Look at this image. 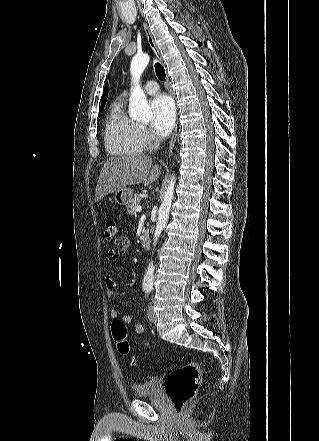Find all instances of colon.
I'll return each mask as SVG.
<instances>
[{
  "label": "colon",
  "instance_id": "obj_1",
  "mask_svg": "<svg viewBox=\"0 0 319 441\" xmlns=\"http://www.w3.org/2000/svg\"><path fill=\"white\" fill-rule=\"evenodd\" d=\"M118 236L117 223L113 219L107 220L104 225V238L113 240ZM111 332L118 351L123 355L128 354L129 342L126 323L122 319H115L111 324ZM199 380L200 366L193 360H188L184 366L174 369L165 378L164 388L177 416L184 415L186 403L194 396Z\"/></svg>",
  "mask_w": 319,
  "mask_h": 441
}]
</instances>
